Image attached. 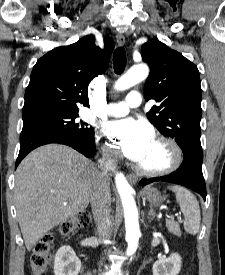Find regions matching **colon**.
Returning a JSON list of instances; mask_svg holds the SVG:
<instances>
[{
  "instance_id": "obj_1",
  "label": "colon",
  "mask_w": 225,
  "mask_h": 275,
  "mask_svg": "<svg viewBox=\"0 0 225 275\" xmlns=\"http://www.w3.org/2000/svg\"><path fill=\"white\" fill-rule=\"evenodd\" d=\"M90 222V215L83 211L72 219L59 225L55 232L43 235L35 244L31 254L30 263L34 275H41L52 260V246L55 236H68L74 231L84 228Z\"/></svg>"
}]
</instances>
